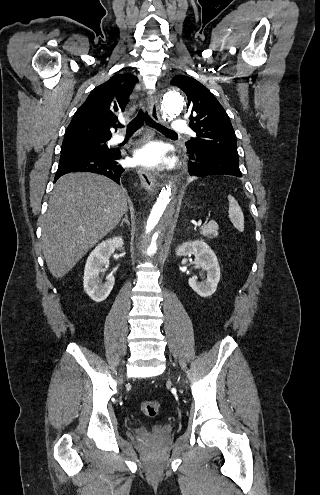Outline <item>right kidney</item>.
<instances>
[{"label": "right kidney", "mask_w": 320, "mask_h": 495, "mask_svg": "<svg viewBox=\"0 0 320 495\" xmlns=\"http://www.w3.org/2000/svg\"><path fill=\"white\" fill-rule=\"evenodd\" d=\"M122 237H114L99 243L90 253L84 269V290L95 302L104 301L113 289L115 279L112 274L106 276V282L100 283L99 274L109 264V258L115 249L123 248Z\"/></svg>", "instance_id": "1"}]
</instances>
